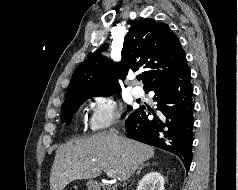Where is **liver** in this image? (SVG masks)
<instances>
[{
    "instance_id": "liver-1",
    "label": "liver",
    "mask_w": 238,
    "mask_h": 190,
    "mask_svg": "<svg viewBox=\"0 0 238 190\" xmlns=\"http://www.w3.org/2000/svg\"><path fill=\"white\" fill-rule=\"evenodd\" d=\"M153 156V147L112 132L73 139L56 151L50 189L63 190L72 181L96 178L103 168L114 170L121 181H126Z\"/></svg>"
}]
</instances>
